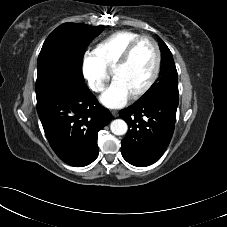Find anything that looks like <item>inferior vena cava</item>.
Listing matches in <instances>:
<instances>
[{
    "label": "inferior vena cava",
    "instance_id": "inferior-vena-cava-1",
    "mask_svg": "<svg viewBox=\"0 0 227 227\" xmlns=\"http://www.w3.org/2000/svg\"><path fill=\"white\" fill-rule=\"evenodd\" d=\"M104 86L101 84H95L93 90L94 91H103Z\"/></svg>",
    "mask_w": 227,
    "mask_h": 227
}]
</instances>
